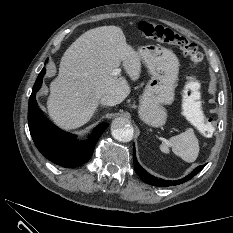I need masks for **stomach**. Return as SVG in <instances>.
<instances>
[{"label":"stomach","mask_w":233,"mask_h":233,"mask_svg":"<svg viewBox=\"0 0 233 233\" xmlns=\"http://www.w3.org/2000/svg\"><path fill=\"white\" fill-rule=\"evenodd\" d=\"M138 54L151 75L140 100L139 117L150 126L160 127L167 119L164 105L174 101L179 61L171 50L156 45L141 46Z\"/></svg>","instance_id":"0dacf381"}]
</instances>
